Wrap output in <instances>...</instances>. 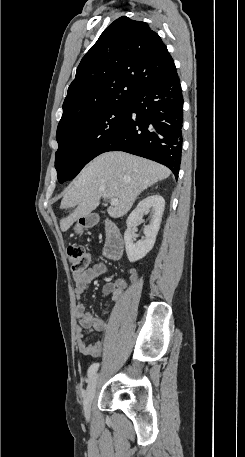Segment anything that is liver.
Returning a JSON list of instances; mask_svg holds the SVG:
<instances>
[{
	"label": "liver",
	"instance_id": "liver-1",
	"mask_svg": "<svg viewBox=\"0 0 245 457\" xmlns=\"http://www.w3.org/2000/svg\"><path fill=\"white\" fill-rule=\"evenodd\" d=\"M171 174L170 168L134 156L121 150L103 152L82 168L80 174L67 186L60 208L77 206L69 216L61 218V231H68L75 220L88 216L104 198H118L119 204L109 206L108 214L113 218L124 216L130 210L138 194Z\"/></svg>",
	"mask_w": 245,
	"mask_h": 457
}]
</instances>
